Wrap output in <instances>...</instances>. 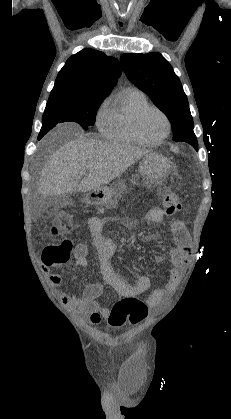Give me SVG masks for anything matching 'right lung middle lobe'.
I'll list each match as a JSON object with an SVG mask.
<instances>
[{
	"label": "right lung middle lobe",
	"instance_id": "obj_1",
	"mask_svg": "<svg viewBox=\"0 0 231 419\" xmlns=\"http://www.w3.org/2000/svg\"><path fill=\"white\" fill-rule=\"evenodd\" d=\"M104 98L76 97L65 91H51L42 118L41 139L56 124L72 121L85 130L95 123L96 113Z\"/></svg>",
	"mask_w": 231,
	"mask_h": 419
}]
</instances>
